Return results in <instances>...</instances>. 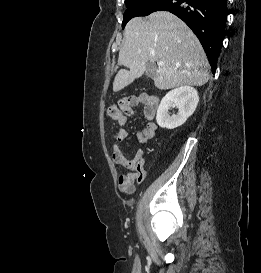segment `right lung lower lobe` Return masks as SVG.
Segmentation results:
<instances>
[{"mask_svg": "<svg viewBox=\"0 0 261 273\" xmlns=\"http://www.w3.org/2000/svg\"><path fill=\"white\" fill-rule=\"evenodd\" d=\"M166 10L182 19L200 40L213 74L221 50L227 18V0H152L139 8L140 16Z\"/></svg>", "mask_w": 261, "mask_h": 273, "instance_id": "1", "label": "right lung lower lobe"}]
</instances>
